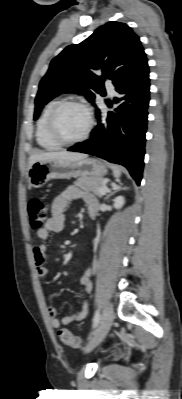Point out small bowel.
<instances>
[{"instance_id":"1","label":"small bowel","mask_w":182,"mask_h":399,"mask_svg":"<svg viewBox=\"0 0 182 399\" xmlns=\"http://www.w3.org/2000/svg\"><path fill=\"white\" fill-rule=\"evenodd\" d=\"M81 199L89 209H98V200L91 193L85 192L76 186L67 187L62 193L58 194L51 205V216L45 223L44 227L36 232L39 240L43 241L34 248V261L37 266V273L40 277L44 278L48 274L46 267L47 262V245L44 243L50 233L61 232L65 226V212L70 202L73 200ZM80 284L84 287L87 294H90L92 289L91 273L87 270L80 277ZM88 305L84 301L80 309L72 315H68L60 319L58 317L57 309L50 305L47 308L50 323L53 328H60L62 325H69L74 322L81 321L87 315Z\"/></svg>"}]
</instances>
